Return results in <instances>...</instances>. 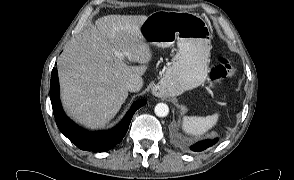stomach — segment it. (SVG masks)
Here are the masks:
<instances>
[{"label": "stomach", "instance_id": "obj_1", "mask_svg": "<svg viewBox=\"0 0 294 180\" xmlns=\"http://www.w3.org/2000/svg\"><path fill=\"white\" fill-rule=\"evenodd\" d=\"M147 44L166 48L175 42L178 52L159 82L163 96H178L200 86L208 75L211 30L199 15L156 11L140 26Z\"/></svg>", "mask_w": 294, "mask_h": 180}]
</instances>
